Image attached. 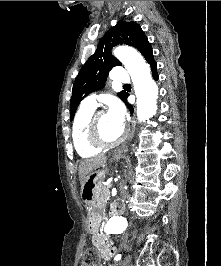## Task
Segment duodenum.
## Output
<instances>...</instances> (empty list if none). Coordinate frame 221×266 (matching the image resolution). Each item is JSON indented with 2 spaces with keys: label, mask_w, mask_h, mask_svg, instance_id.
I'll return each mask as SVG.
<instances>
[{
  "label": "duodenum",
  "mask_w": 221,
  "mask_h": 266,
  "mask_svg": "<svg viewBox=\"0 0 221 266\" xmlns=\"http://www.w3.org/2000/svg\"><path fill=\"white\" fill-rule=\"evenodd\" d=\"M122 211H123V206H122L121 203L115 202V203L112 204V206H111L112 214L119 215V214L122 213Z\"/></svg>",
  "instance_id": "duodenum-1"
}]
</instances>
